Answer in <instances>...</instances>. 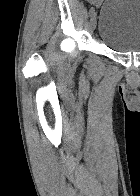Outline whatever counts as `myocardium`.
<instances>
[{
    "label": "myocardium",
    "instance_id": "obj_1",
    "mask_svg": "<svg viewBox=\"0 0 140 196\" xmlns=\"http://www.w3.org/2000/svg\"><path fill=\"white\" fill-rule=\"evenodd\" d=\"M95 192H109V191H95Z\"/></svg>",
    "mask_w": 140,
    "mask_h": 196
}]
</instances>
